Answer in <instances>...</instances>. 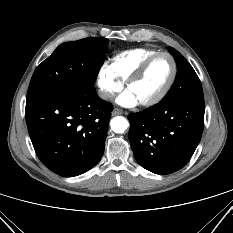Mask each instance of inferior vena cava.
<instances>
[{"label":"inferior vena cava","mask_w":233,"mask_h":233,"mask_svg":"<svg viewBox=\"0 0 233 233\" xmlns=\"http://www.w3.org/2000/svg\"><path fill=\"white\" fill-rule=\"evenodd\" d=\"M99 97L104 99V100H109L110 98L113 97V95L107 91H100L99 92Z\"/></svg>","instance_id":"602c4592"}]
</instances>
